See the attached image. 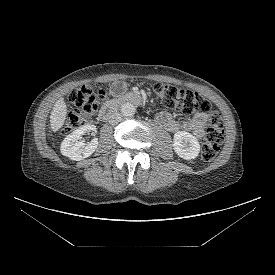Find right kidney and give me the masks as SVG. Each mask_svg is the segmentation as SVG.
Here are the masks:
<instances>
[{
	"mask_svg": "<svg viewBox=\"0 0 275 275\" xmlns=\"http://www.w3.org/2000/svg\"><path fill=\"white\" fill-rule=\"evenodd\" d=\"M87 132H92L95 135L97 132L96 127L91 124L83 125L66 136L61 143L60 150L62 155L75 161L83 160L92 155L98 146V139L94 138L87 144L80 141L81 136Z\"/></svg>",
	"mask_w": 275,
	"mask_h": 275,
	"instance_id": "right-kidney-1",
	"label": "right kidney"
}]
</instances>
